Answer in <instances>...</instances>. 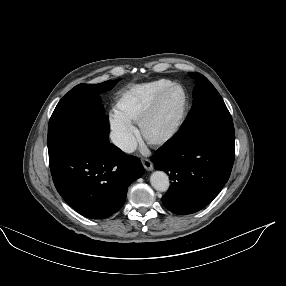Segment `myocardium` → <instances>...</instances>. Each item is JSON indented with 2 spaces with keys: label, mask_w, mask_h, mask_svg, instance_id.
<instances>
[{
  "label": "myocardium",
  "mask_w": 286,
  "mask_h": 286,
  "mask_svg": "<svg viewBox=\"0 0 286 286\" xmlns=\"http://www.w3.org/2000/svg\"><path fill=\"white\" fill-rule=\"evenodd\" d=\"M174 89H180L183 93V101H182V107L180 110V113L175 120V122L172 124V126L162 135L151 138L146 133V127L150 120L153 118L159 104L163 100V98L172 90ZM188 106H189V98L186 89L184 86L178 83H172L171 85L164 88L159 94L156 95V97L150 102L144 113L142 114L141 118L139 119L138 126L139 131L142 136V138L150 145L154 147H162L169 142H171L175 136L178 134L180 129L182 128L187 114H188Z\"/></svg>",
  "instance_id": "obj_1"
}]
</instances>
